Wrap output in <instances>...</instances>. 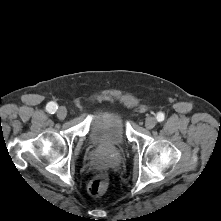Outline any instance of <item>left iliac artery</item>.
I'll list each match as a JSON object with an SVG mask.
<instances>
[{"label": "left iliac artery", "instance_id": "44dca946", "mask_svg": "<svg viewBox=\"0 0 221 221\" xmlns=\"http://www.w3.org/2000/svg\"><path fill=\"white\" fill-rule=\"evenodd\" d=\"M156 119H157L158 122L164 121V119H165L164 113L159 112V113L157 114V116H156Z\"/></svg>", "mask_w": 221, "mask_h": 221}]
</instances>
